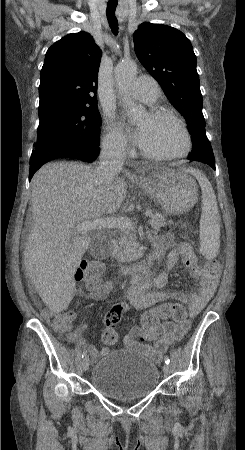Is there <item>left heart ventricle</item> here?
I'll use <instances>...</instances> for the list:
<instances>
[{
  "label": "left heart ventricle",
  "mask_w": 245,
  "mask_h": 450,
  "mask_svg": "<svg viewBox=\"0 0 245 450\" xmlns=\"http://www.w3.org/2000/svg\"><path fill=\"white\" fill-rule=\"evenodd\" d=\"M139 129L142 131L141 146L150 153L174 155L185 149L184 133L170 119L154 120L147 116L140 122Z\"/></svg>",
  "instance_id": "b2bd125f"
}]
</instances>
